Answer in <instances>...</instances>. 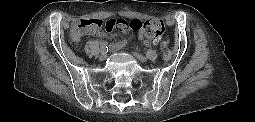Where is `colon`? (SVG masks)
<instances>
[{
    "instance_id": "colon-1",
    "label": "colon",
    "mask_w": 255,
    "mask_h": 122,
    "mask_svg": "<svg viewBox=\"0 0 255 122\" xmlns=\"http://www.w3.org/2000/svg\"><path fill=\"white\" fill-rule=\"evenodd\" d=\"M114 28L140 30L150 38H158L165 31L163 21L159 19H149L146 21H141L138 19H112L107 22H103L100 19H79L73 22L70 28V34L73 39H78L87 31H100L102 29L111 31Z\"/></svg>"
}]
</instances>
